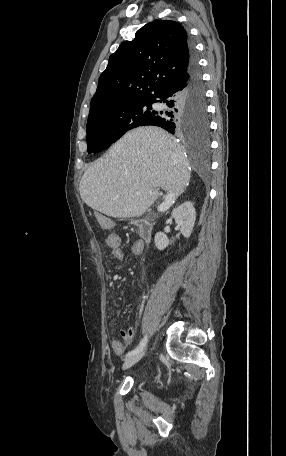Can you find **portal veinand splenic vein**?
<instances>
[{
  "label": "portal vein and splenic vein",
  "instance_id": "18ae733b",
  "mask_svg": "<svg viewBox=\"0 0 286 456\" xmlns=\"http://www.w3.org/2000/svg\"><path fill=\"white\" fill-rule=\"evenodd\" d=\"M174 200V194L172 192H168L165 201L158 207V211L163 212L167 210L174 203Z\"/></svg>",
  "mask_w": 286,
  "mask_h": 456
}]
</instances>
